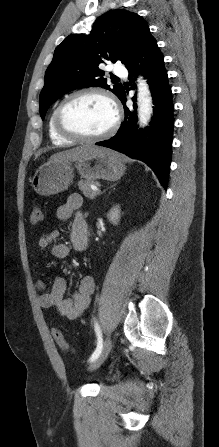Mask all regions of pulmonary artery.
<instances>
[{
	"mask_svg": "<svg viewBox=\"0 0 219 447\" xmlns=\"http://www.w3.org/2000/svg\"><path fill=\"white\" fill-rule=\"evenodd\" d=\"M113 72L116 75H120V76H124L127 73L126 68L122 64H119V63L114 65Z\"/></svg>",
	"mask_w": 219,
	"mask_h": 447,
	"instance_id": "1",
	"label": "pulmonary artery"
}]
</instances>
